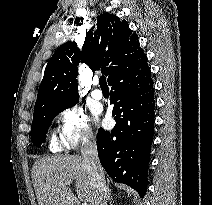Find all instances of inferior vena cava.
I'll return each instance as SVG.
<instances>
[{
	"mask_svg": "<svg viewBox=\"0 0 212 205\" xmlns=\"http://www.w3.org/2000/svg\"><path fill=\"white\" fill-rule=\"evenodd\" d=\"M81 154L90 172V184L93 189L92 205H107V188L103 169L100 164L97 145L93 136L85 135L82 140Z\"/></svg>",
	"mask_w": 212,
	"mask_h": 205,
	"instance_id": "inferior-vena-cava-1",
	"label": "inferior vena cava"
}]
</instances>
